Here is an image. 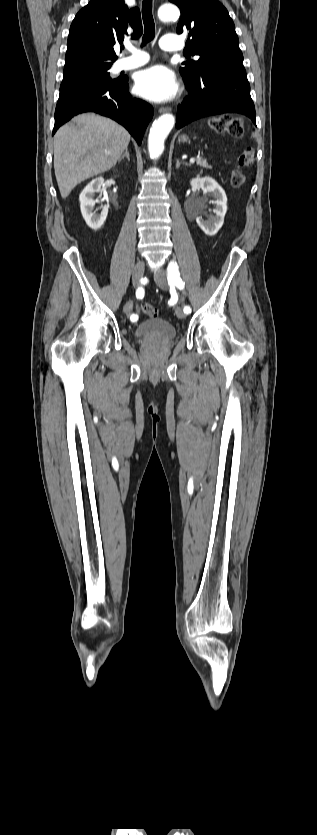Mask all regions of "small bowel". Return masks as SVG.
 Listing matches in <instances>:
<instances>
[{
    "instance_id": "small-bowel-1",
    "label": "small bowel",
    "mask_w": 317,
    "mask_h": 835,
    "mask_svg": "<svg viewBox=\"0 0 317 835\" xmlns=\"http://www.w3.org/2000/svg\"><path fill=\"white\" fill-rule=\"evenodd\" d=\"M127 303H128V304H127ZM127 303H126V304H127V307H129V306L131 305V306H132V308H133V302H132V301H129V302H127ZM131 310H132V309H131ZM135 315H136V314H135Z\"/></svg>"
}]
</instances>
